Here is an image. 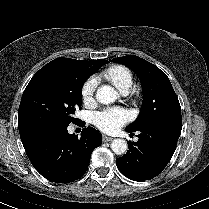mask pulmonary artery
<instances>
[{
  "mask_svg": "<svg viewBox=\"0 0 209 209\" xmlns=\"http://www.w3.org/2000/svg\"><path fill=\"white\" fill-rule=\"evenodd\" d=\"M123 94H127L128 92L127 91H125V92H122Z\"/></svg>",
  "mask_w": 209,
  "mask_h": 209,
  "instance_id": "pulmonary-artery-1",
  "label": "pulmonary artery"
}]
</instances>
